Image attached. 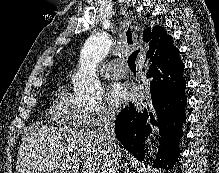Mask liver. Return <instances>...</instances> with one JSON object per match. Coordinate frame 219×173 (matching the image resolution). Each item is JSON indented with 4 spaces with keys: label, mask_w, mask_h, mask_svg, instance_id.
<instances>
[{
    "label": "liver",
    "mask_w": 219,
    "mask_h": 173,
    "mask_svg": "<svg viewBox=\"0 0 219 173\" xmlns=\"http://www.w3.org/2000/svg\"><path fill=\"white\" fill-rule=\"evenodd\" d=\"M120 157L122 151L120 150ZM109 152L99 134L90 130L36 127L20 143L16 173H107Z\"/></svg>",
    "instance_id": "liver-1"
}]
</instances>
